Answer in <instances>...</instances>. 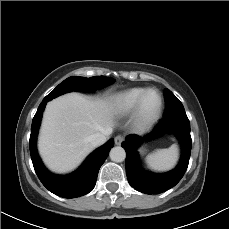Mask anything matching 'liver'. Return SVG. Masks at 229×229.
<instances>
[{"label": "liver", "instance_id": "obj_1", "mask_svg": "<svg viewBox=\"0 0 229 229\" xmlns=\"http://www.w3.org/2000/svg\"><path fill=\"white\" fill-rule=\"evenodd\" d=\"M116 104L69 93L48 102L38 149L47 167L57 173L76 168L93 150L89 137L114 126Z\"/></svg>", "mask_w": 229, "mask_h": 229}]
</instances>
